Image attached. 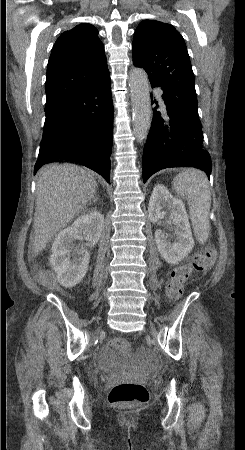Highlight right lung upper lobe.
I'll return each mask as SVG.
<instances>
[{"instance_id": "1", "label": "right lung upper lobe", "mask_w": 245, "mask_h": 450, "mask_svg": "<svg viewBox=\"0 0 245 450\" xmlns=\"http://www.w3.org/2000/svg\"><path fill=\"white\" fill-rule=\"evenodd\" d=\"M97 29L79 24L60 35L47 66L46 105L49 109L108 72Z\"/></svg>"}]
</instances>
